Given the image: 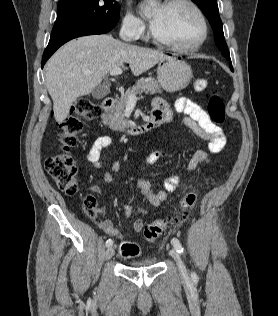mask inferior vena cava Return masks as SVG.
I'll list each match as a JSON object with an SVG mask.
<instances>
[{"label":"inferior vena cava","instance_id":"inferior-vena-cava-1","mask_svg":"<svg viewBox=\"0 0 278 316\" xmlns=\"http://www.w3.org/2000/svg\"><path fill=\"white\" fill-rule=\"evenodd\" d=\"M129 29L127 26H123L120 30V37L123 39V40H128L129 39Z\"/></svg>","mask_w":278,"mask_h":316}]
</instances>
